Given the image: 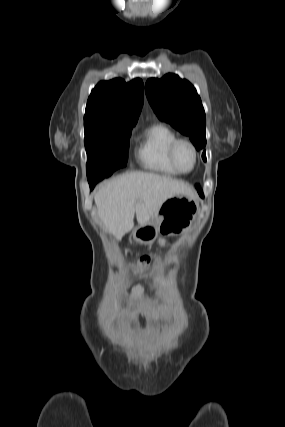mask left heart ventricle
I'll use <instances>...</instances> for the list:
<instances>
[{
  "label": "left heart ventricle",
  "mask_w": 285,
  "mask_h": 427,
  "mask_svg": "<svg viewBox=\"0 0 285 427\" xmlns=\"http://www.w3.org/2000/svg\"><path fill=\"white\" fill-rule=\"evenodd\" d=\"M176 161L180 169L189 171L194 165V154L190 146L180 144L176 151Z\"/></svg>",
  "instance_id": "b2bd125f"
}]
</instances>
